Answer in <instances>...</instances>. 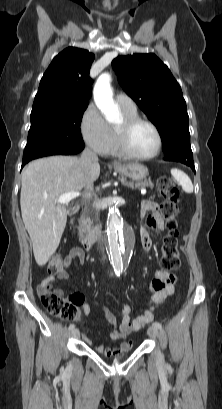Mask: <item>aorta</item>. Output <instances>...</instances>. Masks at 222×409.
I'll use <instances>...</instances> for the list:
<instances>
[{
    "mask_svg": "<svg viewBox=\"0 0 222 409\" xmlns=\"http://www.w3.org/2000/svg\"><path fill=\"white\" fill-rule=\"evenodd\" d=\"M94 101L106 120L115 123L119 120L118 106L114 103L110 86V76L100 75L93 90ZM133 231L120 217L116 208L109 209L107 219V243L112 264L120 268L124 260L131 255Z\"/></svg>",
    "mask_w": 222,
    "mask_h": 409,
    "instance_id": "1",
    "label": "aorta"
}]
</instances>
